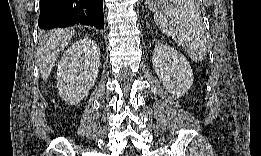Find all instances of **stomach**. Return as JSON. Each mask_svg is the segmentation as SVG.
<instances>
[{
	"instance_id": "0dacf381",
	"label": "stomach",
	"mask_w": 261,
	"mask_h": 156,
	"mask_svg": "<svg viewBox=\"0 0 261 156\" xmlns=\"http://www.w3.org/2000/svg\"><path fill=\"white\" fill-rule=\"evenodd\" d=\"M151 9L154 11V6L153 5H150Z\"/></svg>"
}]
</instances>
